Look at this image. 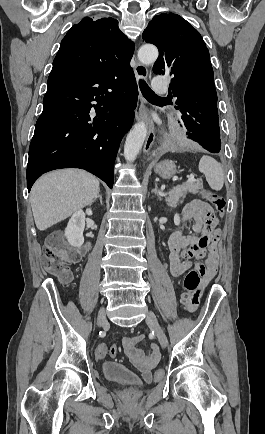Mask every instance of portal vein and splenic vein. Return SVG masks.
Wrapping results in <instances>:
<instances>
[{
    "label": "portal vein and splenic vein",
    "mask_w": 265,
    "mask_h": 434,
    "mask_svg": "<svg viewBox=\"0 0 265 434\" xmlns=\"http://www.w3.org/2000/svg\"><path fill=\"white\" fill-rule=\"evenodd\" d=\"M188 180L187 182H202V180H195L194 176H187ZM174 190H176V188H174Z\"/></svg>",
    "instance_id": "1"
}]
</instances>
